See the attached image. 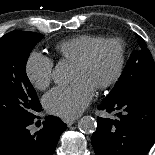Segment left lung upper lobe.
Segmentation results:
<instances>
[{
    "instance_id": "obj_1",
    "label": "left lung upper lobe",
    "mask_w": 155,
    "mask_h": 155,
    "mask_svg": "<svg viewBox=\"0 0 155 155\" xmlns=\"http://www.w3.org/2000/svg\"><path fill=\"white\" fill-rule=\"evenodd\" d=\"M137 42V49L131 54L123 74L107 99L155 83V64L152 55L143 38L138 36Z\"/></svg>"
}]
</instances>
